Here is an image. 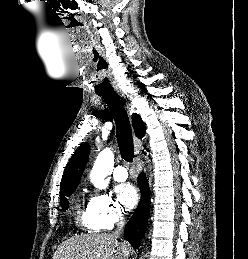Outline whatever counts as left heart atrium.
I'll list each match as a JSON object with an SVG mask.
<instances>
[{"label": "left heart atrium", "mask_w": 248, "mask_h": 259, "mask_svg": "<svg viewBox=\"0 0 248 259\" xmlns=\"http://www.w3.org/2000/svg\"><path fill=\"white\" fill-rule=\"evenodd\" d=\"M116 196L126 210L133 209L138 200L136 189L130 184L119 185L116 188Z\"/></svg>", "instance_id": "left-heart-atrium-1"}]
</instances>
